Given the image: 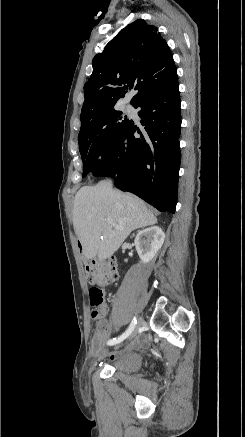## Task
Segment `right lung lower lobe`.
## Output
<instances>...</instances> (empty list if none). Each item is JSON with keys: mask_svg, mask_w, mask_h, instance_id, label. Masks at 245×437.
I'll list each match as a JSON object with an SVG mask.
<instances>
[{"mask_svg": "<svg viewBox=\"0 0 245 437\" xmlns=\"http://www.w3.org/2000/svg\"><path fill=\"white\" fill-rule=\"evenodd\" d=\"M180 105L178 85L137 101L133 106L139 108L143 134L131 120L94 175L114 177L117 188L136 194L161 212L174 213L181 160Z\"/></svg>", "mask_w": 245, "mask_h": 437, "instance_id": "98d812e1", "label": "right lung lower lobe"}]
</instances>
